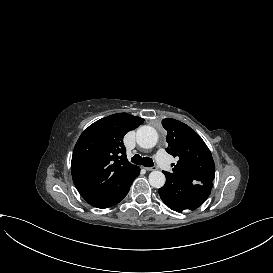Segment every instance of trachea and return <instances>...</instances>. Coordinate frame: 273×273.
Segmentation results:
<instances>
[{"instance_id": "3493384b", "label": "trachea", "mask_w": 273, "mask_h": 273, "mask_svg": "<svg viewBox=\"0 0 273 273\" xmlns=\"http://www.w3.org/2000/svg\"><path fill=\"white\" fill-rule=\"evenodd\" d=\"M131 161L133 163H135L136 165H143L145 167H153L154 166V163H153V160L149 157H141L140 155L138 154H135Z\"/></svg>"}]
</instances>
